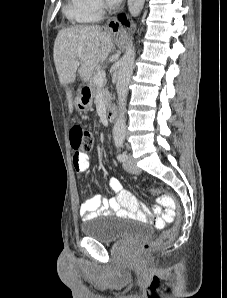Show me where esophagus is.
Listing matches in <instances>:
<instances>
[{"label": "esophagus", "instance_id": "esophagus-1", "mask_svg": "<svg viewBox=\"0 0 227 298\" xmlns=\"http://www.w3.org/2000/svg\"><path fill=\"white\" fill-rule=\"evenodd\" d=\"M124 8V5L121 7L120 11H122ZM107 27L110 31L112 32H119L122 29L121 23L117 20L116 17H112L108 22H107Z\"/></svg>", "mask_w": 227, "mask_h": 298}]
</instances>
